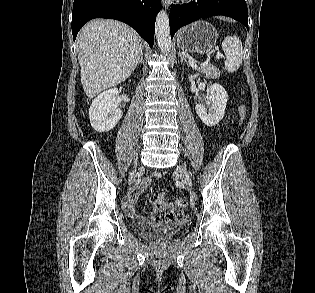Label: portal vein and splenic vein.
Instances as JSON below:
<instances>
[{
    "instance_id": "obj_1",
    "label": "portal vein and splenic vein",
    "mask_w": 315,
    "mask_h": 293,
    "mask_svg": "<svg viewBox=\"0 0 315 293\" xmlns=\"http://www.w3.org/2000/svg\"><path fill=\"white\" fill-rule=\"evenodd\" d=\"M217 56L220 57V56H222V55H221L220 53H218ZM189 63H190V65H191L193 68H195V69L198 67V65H201V66H205V65H206V63L197 64V63H195V62H193V61H191V60H189Z\"/></svg>"
}]
</instances>
